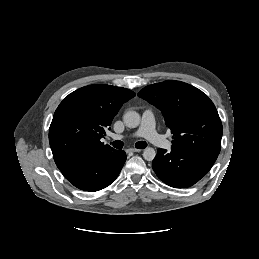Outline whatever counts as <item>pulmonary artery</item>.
Returning <instances> with one entry per match:
<instances>
[{
  "label": "pulmonary artery",
  "instance_id": "pulmonary-artery-1",
  "mask_svg": "<svg viewBox=\"0 0 259 259\" xmlns=\"http://www.w3.org/2000/svg\"><path fill=\"white\" fill-rule=\"evenodd\" d=\"M132 137H144L148 139L151 143L156 146H160L162 148L169 149L171 144L165 140L160 134L157 133L155 129V118L152 110L146 109L142 115V121L139 129L134 132ZM114 139L121 140L124 139L125 136L122 135H114Z\"/></svg>",
  "mask_w": 259,
  "mask_h": 259
}]
</instances>
